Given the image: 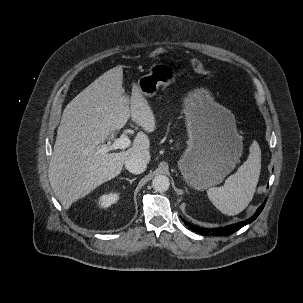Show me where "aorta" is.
Returning <instances> with one entry per match:
<instances>
[{
    "label": "aorta",
    "instance_id": "762f6f07",
    "mask_svg": "<svg viewBox=\"0 0 303 303\" xmlns=\"http://www.w3.org/2000/svg\"><path fill=\"white\" fill-rule=\"evenodd\" d=\"M170 181L165 175H157L152 181V187L157 192H165L169 189Z\"/></svg>",
    "mask_w": 303,
    "mask_h": 303
}]
</instances>
